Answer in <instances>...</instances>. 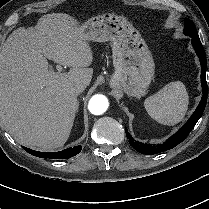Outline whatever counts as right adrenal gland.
I'll use <instances>...</instances> for the list:
<instances>
[{
    "label": "right adrenal gland",
    "instance_id": "obj_1",
    "mask_svg": "<svg viewBox=\"0 0 209 209\" xmlns=\"http://www.w3.org/2000/svg\"><path fill=\"white\" fill-rule=\"evenodd\" d=\"M78 109H79V101H77V112H78Z\"/></svg>",
    "mask_w": 209,
    "mask_h": 209
}]
</instances>
